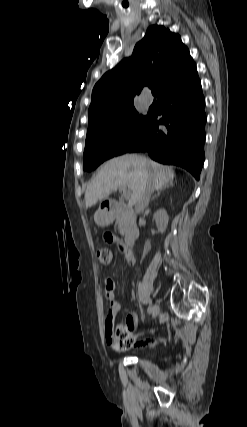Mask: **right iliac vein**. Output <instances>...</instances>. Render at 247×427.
Returning a JSON list of instances; mask_svg holds the SVG:
<instances>
[{"label":"right iliac vein","instance_id":"right-iliac-vein-1","mask_svg":"<svg viewBox=\"0 0 247 427\" xmlns=\"http://www.w3.org/2000/svg\"><path fill=\"white\" fill-rule=\"evenodd\" d=\"M159 311H160L159 306L158 305H154L153 309H152V317L156 318L158 316V314H159Z\"/></svg>","mask_w":247,"mask_h":427}]
</instances>
